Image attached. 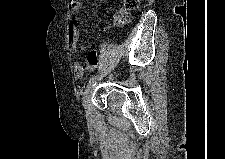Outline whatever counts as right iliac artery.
<instances>
[{
	"instance_id": "right-iliac-artery-1",
	"label": "right iliac artery",
	"mask_w": 225,
	"mask_h": 159,
	"mask_svg": "<svg viewBox=\"0 0 225 159\" xmlns=\"http://www.w3.org/2000/svg\"><path fill=\"white\" fill-rule=\"evenodd\" d=\"M99 78V75H96L94 77H92L90 80H89V83H88V86L87 88L91 87V86H94L96 84V80Z\"/></svg>"
}]
</instances>
